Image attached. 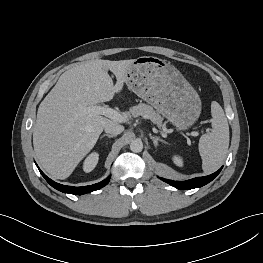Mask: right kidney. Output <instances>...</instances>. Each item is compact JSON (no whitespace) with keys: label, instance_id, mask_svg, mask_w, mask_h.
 I'll list each match as a JSON object with an SVG mask.
<instances>
[{"label":"right kidney","instance_id":"ca27d5eb","mask_svg":"<svg viewBox=\"0 0 263 263\" xmlns=\"http://www.w3.org/2000/svg\"><path fill=\"white\" fill-rule=\"evenodd\" d=\"M99 160V154L97 152H92L83 163V170L86 173L91 172L97 165Z\"/></svg>","mask_w":263,"mask_h":263}]
</instances>
